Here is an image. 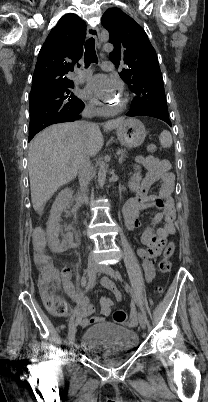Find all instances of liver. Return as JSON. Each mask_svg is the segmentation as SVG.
I'll use <instances>...</instances> for the list:
<instances>
[{"mask_svg":"<svg viewBox=\"0 0 208 402\" xmlns=\"http://www.w3.org/2000/svg\"><path fill=\"white\" fill-rule=\"evenodd\" d=\"M122 118L106 122L105 130H114L122 124ZM104 144L97 124L80 130L74 124H54L40 132L32 140L28 152V170L32 206L42 212L44 204L60 186L74 180L78 174L77 156L87 146L89 156H96Z\"/></svg>","mask_w":208,"mask_h":402,"instance_id":"liver-1","label":"liver"}]
</instances>
